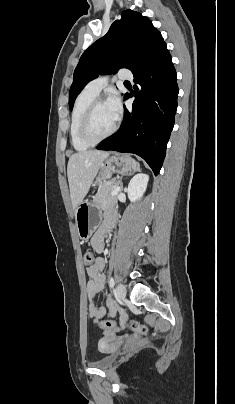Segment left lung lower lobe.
<instances>
[{
  "mask_svg": "<svg viewBox=\"0 0 235 404\" xmlns=\"http://www.w3.org/2000/svg\"><path fill=\"white\" fill-rule=\"evenodd\" d=\"M133 75L139 87L134 86V93L125 97H135L132 111L125 109L120 129L97 149L137 154L157 175L177 110V77L167 45Z\"/></svg>",
  "mask_w": 235,
  "mask_h": 404,
  "instance_id": "left-lung-lower-lobe-1",
  "label": "left lung lower lobe"
}]
</instances>
